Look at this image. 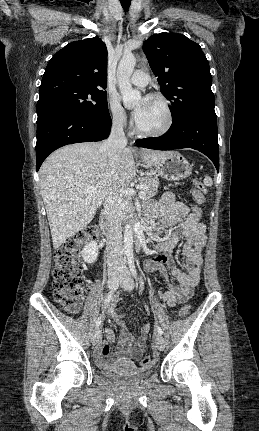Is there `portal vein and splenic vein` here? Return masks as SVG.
<instances>
[{
    "label": "portal vein and splenic vein",
    "mask_w": 259,
    "mask_h": 431,
    "mask_svg": "<svg viewBox=\"0 0 259 431\" xmlns=\"http://www.w3.org/2000/svg\"><path fill=\"white\" fill-rule=\"evenodd\" d=\"M98 189V186H89V187H87L84 191L85 192H89V193H93V192H95L96 190ZM121 194H123V195H127V196H133V195H135L136 194V191L134 190V189H132V188H120L119 190H118ZM138 196H139V198H145V196H146V193L144 192V191H140L139 193H138Z\"/></svg>",
    "instance_id": "18ae733b"
}]
</instances>
